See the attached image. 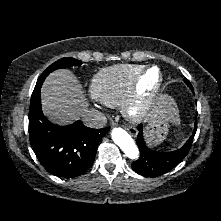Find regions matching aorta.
Masks as SVG:
<instances>
[{
  "instance_id": "aorta-1",
  "label": "aorta",
  "mask_w": 221,
  "mask_h": 221,
  "mask_svg": "<svg viewBox=\"0 0 221 221\" xmlns=\"http://www.w3.org/2000/svg\"><path fill=\"white\" fill-rule=\"evenodd\" d=\"M111 136L114 143L120 147V149L126 154L128 158L132 160L138 159V147L127 131L122 128H114L112 130Z\"/></svg>"
}]
</instances>
